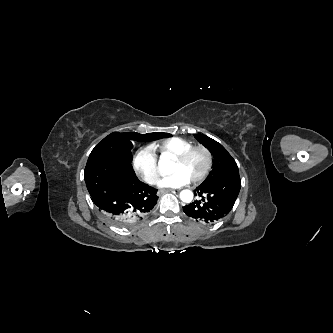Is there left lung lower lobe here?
<instances>
[{"label": "left lung lower lobe", "mask_w": 333, "mask_h": 333, "mask_svg": "<svg viewBox=\"0 0 333 333\" xmlns=\"http://www.w3.org/2000/svg\"><path fill=\"white\" fill-rule=\"evenodd\" d=\"M240 188L239 175L223 177L207 185L201 184L196 188L195 195L202 197L204 204L196 200L184 206L183 211L197 222L214 224L229 214Z\"/></svg>", "instance_id": "left-lung-lower-lobe-1"}]
</instances>
